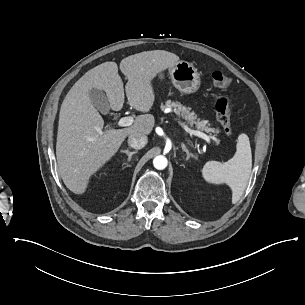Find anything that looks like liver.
I'll return each mask as SVG.
<instances>
[{"instance_id": "liver-1", "label": "liver", "mask_w": 305, "mask_h": 305, "mask_svg": "<svg viewBox=\"0 0 305 305\" xmlns=\"http://www.w3.org/2000/svg\"><path fill=\"white\" fill-rule=\"evenodd\" d=\"M180 58L170 52L155 50L131 55L120 62L127 78V102L143 115L131 126L113 129L101 135L104 120L91 99V91H103L112 111H120L125 102L122 81L115 62L103 63L80 78L67 94L61 109L56 147L58 174L65 186L77 195L87 192L92 177L110 162L127 136L145 137L155 126L150 114L155 101L154 79L174 68Z\"/></svg>"}]
</instances>
